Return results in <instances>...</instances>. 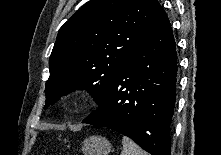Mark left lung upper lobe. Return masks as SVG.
I'll return each mask as SVG.
<instances>
[{
  "mask_svg": "<svg viewBox=\"0 0 221 155\" xmlns=\"http://www.w3.org/2000/svg\"><path fill=\"white\" fill-rule=\"evenodd\" d=\"M157 0H90L59 30L46 82V105L86 89L99 104L119 71L156 23Z\"/></svg>",
  "mask_w": 221,
  "mask_h": 155,
  "instance_id": "left-lung-upper-lobe-1",
  "label": "left lung upper lobe"
}]
</instances>
